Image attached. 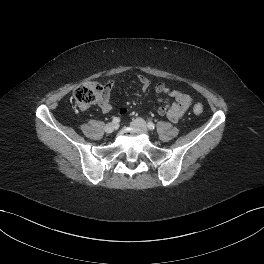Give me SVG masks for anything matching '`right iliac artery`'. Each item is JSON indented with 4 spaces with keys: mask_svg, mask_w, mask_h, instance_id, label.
<instances>
[{
    "mask_svg": "<svg viewBox=\"0 0 264 264\" xmlns=\"http://www.w3.org/2000/svg\"><path fill=\"white\" fill-rule=\"evenodd\" d=\"M112 122L115 123V124H117V123L120 122V119H119L118 117H114V118L112 119Z\"/></svg>",
    "mask_w": 264,
    "mask_h": 264,
    "instance_id": "obj_1",
    "label": "right iliac artery"
}]
</instances>
